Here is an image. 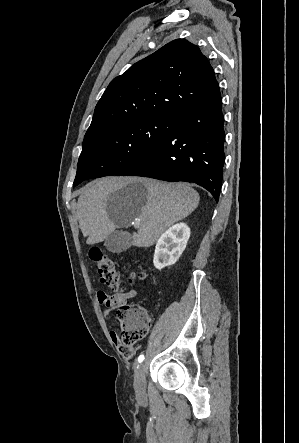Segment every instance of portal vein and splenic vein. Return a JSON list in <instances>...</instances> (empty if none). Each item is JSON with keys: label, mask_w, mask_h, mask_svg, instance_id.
Listing matches in <instances>:
<instances>
[{"label": "portal vein and splenic vein", "mask_w": 299, "mask_h": 443, "mask_svg": "<svg viewBox=\"0 0 299 443\" xmlns=\"http://www.w3.org/2000/svg\"><path fill=\"white\" fill-rule=\"evenodd\" d=\"M132 224L134 225V227H138L139 226V224H140V220L139 219H135L133 222H132Z\"/></svg>", "instance_id": "1"}]
</instances>
